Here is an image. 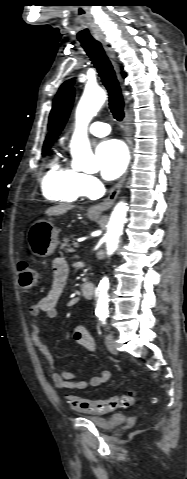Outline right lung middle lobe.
Segmentation results:
<instances>
[{"label": "right lung middle lobe", "instance_id": "right-lung-middle-lobe-1", "mask_svg": "<svg viewBox=\"0 0 187 479\" xmlns=\"http://www.w3.org/2000/svg\"><path fill=\"white\" fill-rule=\"evenodd\" d=\"M47 151H43V154H45Z\"/></svg>", "mask_w": 187, "mask_h": 479}]
</instances>
